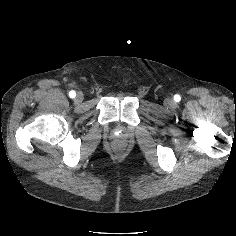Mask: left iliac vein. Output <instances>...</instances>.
<instances>
[{
	"label": "left iliac vein",
	"instance_id": "obj_1",
	"mask_svg": "<svg viewBox=\"0 0 236 236\" xmlns=\"http://www.w3.org/2000/svg\"><path fill=\"white\" fill-rule=\"evenodd\" d=\"M166 106L173 107L175 105V102L172 99H166L164 101Z\"/></svg>",
	"mask_w": 236,
	"mask_h": 236
}]
</instances>
